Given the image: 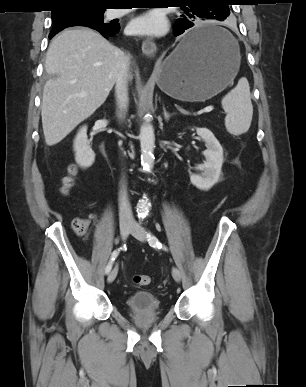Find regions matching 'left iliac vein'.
Listing matches in <instances>:
<instances>
[{
  "mask_svg": "<svg viewBox=\"0 0 306 387\" xmlns=\"http://www.w3.org/2000/svg\"><path fill=\"white\" fill-rule=\"evenodd\" d=\"M131 234L140 241H145L147 238L146 230L138 223H133L131 228ZM172 276L176 282L179 283L181 281V273L178 268H172Z\"/></svg>",
  "mask_w": 306,
  "mask_h": 387,
  "instance_id": "4c4485c4",
  "label": "left iliac vein"
}]
</instances>
